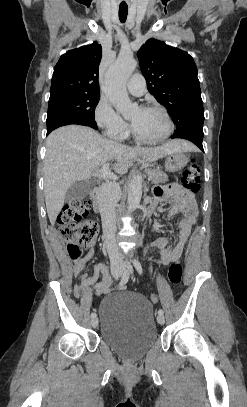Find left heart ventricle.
Segmentation results:
<instances>
[{"mask_svg": "<svg viewBox=\"0 0 247 407\" xmlns=\"http://www.w3.org/2000/svg\"><path fill=\"white\" fill-rule=\"evenodd\" d=\"M128 120L136 132L144 139L155 140L161 138L168 130L164 116L156 110L136 108L129 115Z\"/></svg>", "mask_w": 247, "mask_h": 407, "instance_id": "b2bd125f", "label": "left heart ventricle"}]
</instances>
